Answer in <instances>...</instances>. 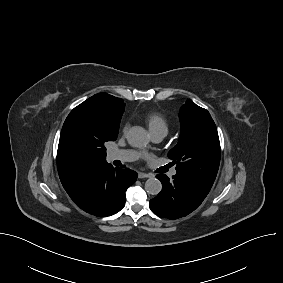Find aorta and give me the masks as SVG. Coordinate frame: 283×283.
Instances as JSON below:
<instances>
[{"instance_id": "aorta-1", "label": "aorta", "mask_w": 283, "mask_h": 283, "mask_svg": "<svg viewBox=\"0 0 283 283\" xmlns=\"http://www.w3.org/2000/svg\"><path fill=\"white\" fill-rule=\"evenodd\" d=\"M127 141L133 147H144L149 142L148 133L144 128L134 126L130 128L127 134ZM145 190L148 194L158 195L162 190V184L157 178H149L145 182Z\"/></svg>"}]
</instances>
